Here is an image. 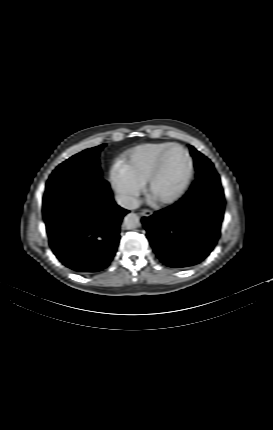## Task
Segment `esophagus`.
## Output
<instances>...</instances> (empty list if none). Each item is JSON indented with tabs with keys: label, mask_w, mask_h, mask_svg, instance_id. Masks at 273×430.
Returning <instances> with one entry per match:
<instances>
[{
	"label": "esophagus",
	"mask_w": 273,
	"mask_h": 430,
	"mask_svg": "<svg viewBox=\"0 0 273 430\" xmlns=\"http://www.w3.org/2000/svg\"><path fill=\"white\" fill-rule=\"evenodd\" d=\"M140 215H141V216H144V217H150V216L152 215V211H151V210H149V209H143V210L140 212Z\"/></svg>",
	"instance_id": "1"
}]
</instances>
